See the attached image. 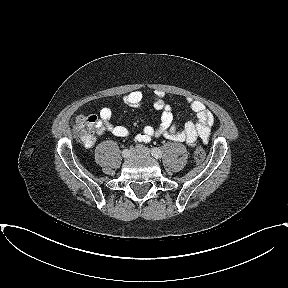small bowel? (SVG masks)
Returning a JSON list of instances; mask_svg holds the SVG:
<instances>
[{
  "label": "small bowel",
  "instance_id": "small-bowel-1",
  "mask_svg": "<svg viewBox=\"0 0 288 288\" xmlns=\"http://www.w3.org/2000/svg\"><path fill=\"white\" fill-rule=\"evenodd\" d=\"M123 103L129 107L139 108L144 103V95L140 90L132 91L124 95ZM189 108L196 114L195 121H188L182 130H178L175 124V117L171 105L168 104L163 94L158 92L153 95V108L160 112V122L156 127L146 126L141 133L136 136L137 141L148 142L152 138L164 137L174 142H183L188 146H195L198 138L207 142L211 135V127L214 123L213 114L200 101L188 98ZM112 110L103 107L99 112V120L96 124L97 134L105 132L116 137H126L129 130L122 125L111 123Z\"/></svg>",
  "mask_w": 288,
  "mask_h": 288
}]
</instances>
